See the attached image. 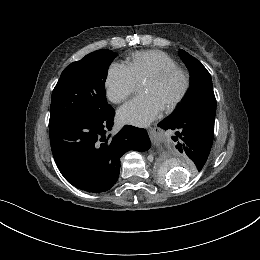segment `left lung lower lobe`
<instances>
[{
  "label": "left lung lower lobe",
  "instance_id": "0a47b994",
  "mask_svg": "<svg viewBox=\"0 0 260 260\" xmlns=\"http://www.w3.org/2000/svg\"><path fill=\"white\" fill-rule=\"evenodd\" d=\"M164 130L176 131V148L193 161L194 169L200 171L209 156L214 138V120L190 114L169 116L158 124Z\"/></svg>",
  "mask_w": 260,
  "mask_h": 260
}]
</instances>
